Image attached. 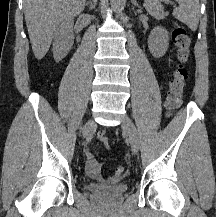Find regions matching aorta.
<instances>
[{
  "instance_id": "762f6f07",
  "label": "aorta",
  "mask_w": 216,
  "mask_h": 217,
  "mask_svg": "<svg viewBox=\"0 0 216 217\" xmlns=\"http://www.w3.org/2000/svg\"><path fill=\"white\" fill-rule=\"evenodd\" d=\"M122 0H110L112 8L117 11L120 8Z\"/></svg>"
}]
</instances>
